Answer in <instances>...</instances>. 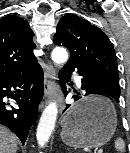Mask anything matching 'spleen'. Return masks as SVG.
<instances>
[{
	"label": "spleen",
	"mask_w": 130,
	"mask_h": 153,
	"mask_svg": "<svg viewBox=\"0 0 130 153\" xmlns=\"http://www.w3.org/2000/svg\"><path fill=\"white\" fill-rule=\"evenodd\" d=\"M115 148L120 152L125 151V143L121 138L117 139V141L115 142Z\"/></svg>",
	"instance_id": "1"
}]
</instances>
